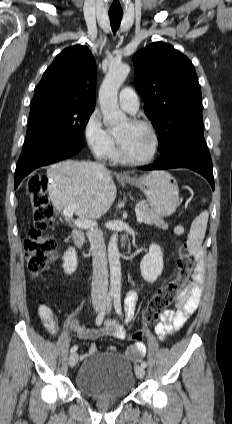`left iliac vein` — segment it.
I'll return each instance as SVG.
<instances>
[{
  "instance_id": "1",
  "label": "left iliac vein",
  "mask_w": 232,
  "mask_h": 424,
  "mask_svg": "<svg viewBox=\"0 0 232 424\" xmlns=\"http://www.w3.org/2000/svg\"><path fill=\"white\" fill-rule=\"evenodd\" d=\"M135 373L137 378L142 379L145 376V369L143 366L141 365H136L135 366Z\"/></svg>"
}]
</instances>
